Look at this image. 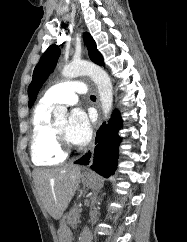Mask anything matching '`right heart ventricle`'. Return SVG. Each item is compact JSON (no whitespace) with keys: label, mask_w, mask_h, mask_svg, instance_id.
<instances>
[{"label":"right heart ventricle","mask_w":187,"mask_h":242,"mask_svg":"<svg viewBox=\"0 0 187 242\" xmlns=\"http://www.w3.org/2000/svg\"><path fill=\"white\" fill-rule=\"evenodd\" d=\"M50 112L51 105L40 101L31 119L30 152L33 163L38 166L57 165L66 158L56 145Z\"/></svg>","instance_id":"right-heart-ventricle-1"}]
</instances>
